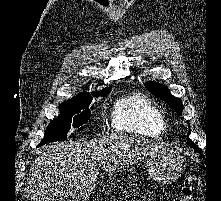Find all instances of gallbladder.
<instances>
[{"label": "gallbladder", "mask_w": 221, "mask_h": 201, "mask_svg": "<svg viewBox=\"0 0 221 201\" xmlns=\"http://www.w3.org/2000/svg\"><path fill=\"white\" fill-rule=\"evenodd\" d=\"M73 196V185L71 184H63L58 187L55 198L57 201H69V199Z\"/></svg>", "instance_id": "gallbladder-1"}]
</instances>
